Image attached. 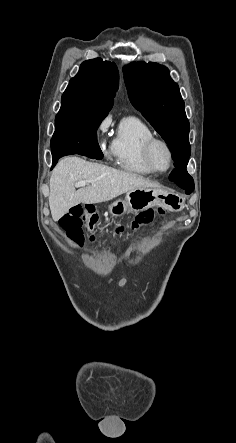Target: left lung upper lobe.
<instances>
[{
    "label": "left lung upper lobe",
    "mask_w": 236,
    "mask_h": 443,
    "mask_svg": "<svg viewBox=\"0 0 236 443\" xmlns=\"http://www.w3.org/2000/svg\"><path fill=\"white\" fill-rule=\"evenodd\" d=\"M124 80L133 106L151 123L168 144L174 166L188 163L189 121L178 85L169 70L155 62H137L124 67Z\"/></svg>",
    "instance_id": "left-lung-upper-lobe-1"
}]
</instances>
